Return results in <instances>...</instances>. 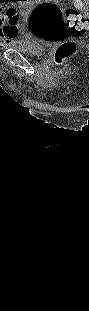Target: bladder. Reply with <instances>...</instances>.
Wrapping results in <instances>:
<instances>
[{
  "label": "bladder",
  "instance_id": "obj_1",
  "mask_svg": "<svg viewBox=\"0 0 89 311\" xmlns=\"http://www.w3.org/2000/svg\"><path fill=\"white\" fill-rule=\"evenodd\" d=\"M9 48L33 57H38L44 52V46L35 38L27 35L22 39L11 43Z\"/></svg>",
  "mask_w": 89,
  "mask_h": 311
}]
</instances>
